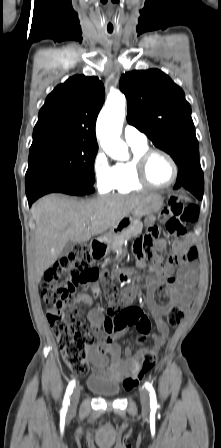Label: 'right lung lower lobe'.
Returning <instances> with one entry per match:
<instances>
[{
  "label": "right lung lower lobe",
  "mask_w": 221,
  "mask_h": 448,
  "mask_svg": "<svg viewBox=\"0 0 221 448\" xmlns=\"http://www.w3.org/2000/svg\"><path fill=\"white\" fill-rule=\"evenodd\" d=\"M25 187L29 206L39 197L51 192H61L78 196L94 192L92 185H77L51 176L28 178L25 181Z\"/></svg>",
  "instance_id": "1"
}]
</instances>
